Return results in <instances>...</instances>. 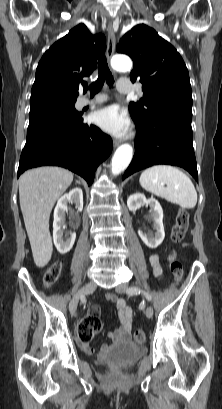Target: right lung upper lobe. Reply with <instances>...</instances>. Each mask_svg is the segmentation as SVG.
Segmentation results:
<instances>
[{
  "mask_svg": "<svg viewBox=\"0 0 222 409\" xmlns=\"http://www.w3.org/2000/svg\"><path fill=\"white\" fill-rule=\"evenodd\" d=\"M105 50L103 34L92 35L84 24L74 27L43 55L36 69L30 105L75 102L82 77L96 68Z\"/></svg>",
  "mask_w": 222,
  "mask_h": 409,
  "instance_id": "right-lung-upper-lobe-1",
  "label": "right lung upper lobe"
}]
</instances>
